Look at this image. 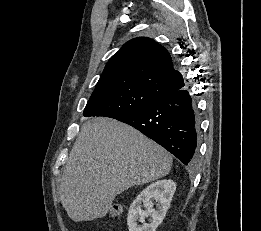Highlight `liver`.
Segmentation results:
<instances>
[{
  "label": "liver",
  "instance_id": "liver-1",
  "mask_svg": "<svg viewBox=\"0 0 261 231\" xmlns=\"http://www.w3.org/2000/svg\"><path fill=\"white\" fill-rule=\"evenodd\" d=\"M172 156L131 126L106 117L86 121L59 186L74 222L104 217L121 192L166 176Z\"/></svg>",
  "mask_w": 261,
  "mask_h": 231
}]
</instances>
